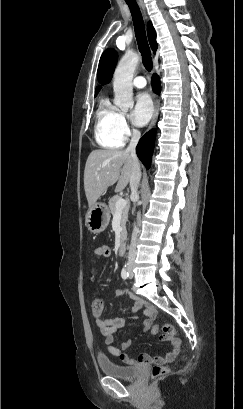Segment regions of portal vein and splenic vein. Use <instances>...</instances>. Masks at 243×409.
<instances>
[{
  "instance_id": "1",
  "label": "portal vein and splenic vein",
  "mask_w": 243,
  "mask_h": 409,
  "mask_svg": "<svg viewBox=\"0 0 243 409\" xmlns=\"http://www.w3.org/2000/svg\"><path fill=\"white\" fill-rule=\"evenodd\" d=\"M126 205H127L126 200L123 199V198H120V199L116 202V210H117V211H120V210H122L123 208H125Z\"/></svg>"
}]
</instances>
